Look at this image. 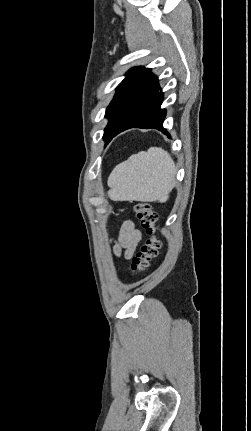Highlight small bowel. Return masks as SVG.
Masks as SVG:
<instances>
[{"instance_id":"small-bowel-1","label":"small bowel","mask_w":251,"mask_h":431,"mask_svg":"<svg viewBox=\"0 0 251 431\" xmlns=\"http://www.w3.org/2000/svg\"><path fill=\"white\" fill-rule=\"evenodd\" d=\"M141 237V232L134 226L133 222H125L121 228L118 241L114 245L115 255H123L126 259H130Z\"/></svg>"}]
</instances>
